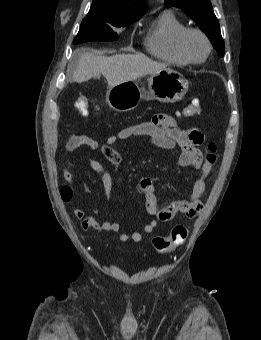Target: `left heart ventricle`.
Returning a JSON list of instances; mask_svg holds the SVG:
<instances>
[{
  "mask_svg": "<svg viewBox=\"0 0 261 340\" xmlns=\"http://www.w3.org/2000/svg\"><path fill=\"white\" fill-rule=\"evenodd\" d=\"M186 49L193 58L201 59L207 52V45L198 34H190L186 39Z\"/></svg>",
  "mask_w": 261,
  "mask_h": 340,
  "instance_id": "obj_1",
  "label": "left heart ventricle"
}]
</instances>
